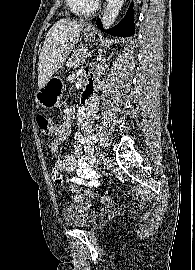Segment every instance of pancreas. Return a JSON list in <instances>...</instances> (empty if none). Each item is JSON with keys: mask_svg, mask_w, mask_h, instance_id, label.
Masks as SVG:
<instances>
[{"mask_svg": "<svg viewBox=\"0 0 195 270\" xmlns=\"http://www.w3.org/2000/svg\"><path fill=\"white\" fill-rule=\"evenodd\" d=\"M85 48H80L71 55L68 59L67 66L69 68L79 67L85 61Z\"/></svg>", "mask_w": 195, "mask_h": 270, "instance_id": "1", "label": "pancreas"}]
</instances>
